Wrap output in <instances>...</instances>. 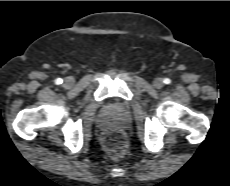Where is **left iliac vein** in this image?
I'll return each instance as SVG.
<instances>
[{
    "label": "left iliac vein",
    "mask_w": 230,
    "mask_h": 186,
    "mask_svg": "<svg viewBox=\"0 0 230 186\" xmlns=\"http://www.w3.org/2000/svg\"><path fill=\"white\" fill-rule=\"evenodd\" d=\"M164 85L163 79L162 78H156L153 81V86L157 89L162 88Z\"/></svg>",
    "instance_id": "obj_1"
}]
</instances>
